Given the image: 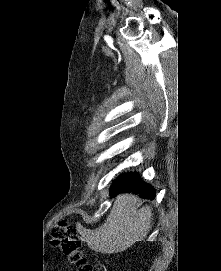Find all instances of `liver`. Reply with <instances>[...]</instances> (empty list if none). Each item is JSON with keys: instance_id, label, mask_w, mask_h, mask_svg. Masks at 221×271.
<instances>
[{"instance_id": "obj_1", "label": "liver", "mask_w": 221, "mask_h": 271, "mask_svg": "<svg viewBox=\"0 0 221 271\" xmlns=\"http://www.w3.org/2000/svg\"><path fill=\"white\" fill-rule=\"evenodd\" d=\"M137 195H117L109 215L96 229H79L82 241L94 251L119 253L131 247L135 241H142L152 225V207H137Z\"/></svg>"}]
</instances>
